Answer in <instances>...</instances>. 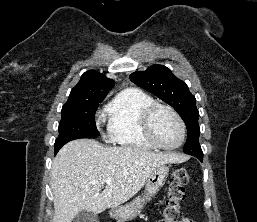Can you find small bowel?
<instances>
[{
  "instance_id": "small-bowel-1",
  "label": "small bowel",
  "mask_w": 257,
  "mask_h": 222,
  "mask_svg": "<svg viewBox=\"0 0 257 222\" xmlns=\"http://www.w3.org/2000/svg\"><path fill=\"white\" fill-rule=\"evenodd\" d=\"M182 222H194V221L189 218H182Z\"/></svg>"
}]
</instances>
